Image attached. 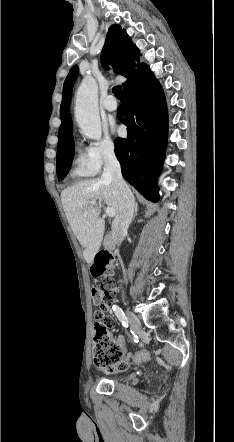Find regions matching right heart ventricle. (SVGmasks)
<instances>
[{"label":"right heart ventricle","instance_id":"e07e8e85","mask_svg":"<svg viewBox=\"0 0 234 442\" xmlns=\"http://www.w3.org/2000/svg\"><path fill=\"white\" fill-rule=\"evenodd\" d=\"M96 173L97 171L93 167L87 151L77 147L75 156L72 160L71 176L76 179H81L92 177Z\"/></svg>","mask_w":234,"mask_h":442}]
</instances>
